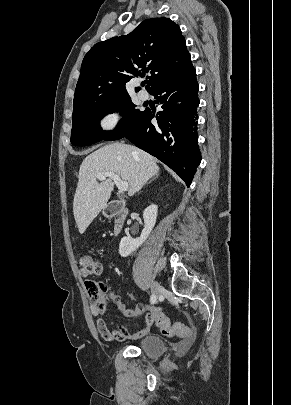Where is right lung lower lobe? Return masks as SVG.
I'll return each mask as SVG.
<instances>
[{
	"label": "right lung lower lobe",
	"instance_id": "1",
	"mask_svg": "<svg viewBox=\"0 0 291 405\" xmlns=\"http://www.w3.org/2000/svg\"><path fill=\"white\" fill-rule=\"evenodd\" d=\"M151 94L162 111L145 110L143 116L124 137L157 157L173 169L189 187L201 162L197 141L199 105L196 71L189 76L162 83Z\"/></svg>",
	"mask_w": 291,
	"mask_h": 405
}]
</instances>
